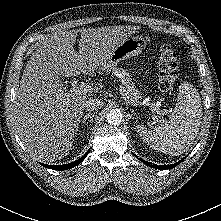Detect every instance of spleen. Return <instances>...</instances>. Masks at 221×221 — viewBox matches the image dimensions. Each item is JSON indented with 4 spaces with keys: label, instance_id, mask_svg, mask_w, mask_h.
Segmentation results:
<instances>
[{
    "label": "spleen",
    "instance_id": "obj_1",
    "mask_svg": "<svg viewBox=\"0 0 221 221\" xmlns=\"http://www.w3.org/2000/svg\"><path fill=\"white\" fill-rule=\"evenodd\" d=\"M202 117L199 93L190 83L179 86L177 103L168 122L147 131L137 126L138 134L151 148L169 155L183 154L194 142Z\"/></svg>",
    "mask_w": 221,
    "mask_h": 221
}]
</instances>
